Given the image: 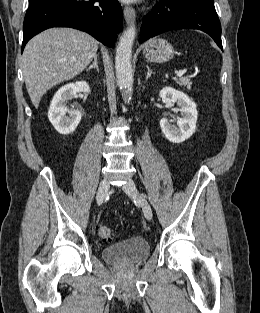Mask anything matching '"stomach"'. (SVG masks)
Segmentation results:
<instances>
[{
    "label": "stomach",
    "mask_w": 260,
    "mask_h": 313,
    "mask_svg": "<svg viewBox=\"0 0 260 313\" xmlns=\"http://www.w3.org/2000/svg\"><path fill=\"white\" fill-rule=\"evenodd\" d=\"M145 57L155 63L167 62L174 56L173 46L165 39H151L145 46Z\"/></svg>",
    "instance_id": "1"
}]
</instances>
